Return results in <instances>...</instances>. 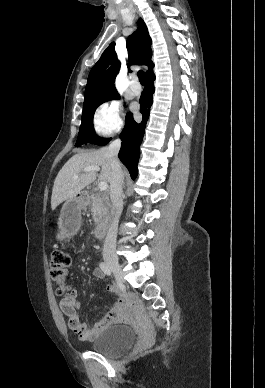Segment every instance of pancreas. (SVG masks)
Segmentation results:
<instances>
[{"label":"pancreas","mask_w":265,"mask_h":388,"mask_svg":"<svg viewBox=\"0 0 265 388\" xmlns=\"http://www.w3.org/2000/svg\"><path fill=\"white\" fill-rule=\"evenodd\" d=\"M90 212H92L95 224H99L100 220H102L109 212L108 198H100V196L92 198V208H90Z\"/></svg>","instance_id":"1"}]
</instances>
